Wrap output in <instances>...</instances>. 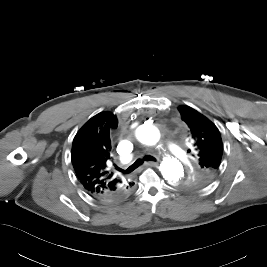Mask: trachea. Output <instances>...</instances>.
I'll return each instance as SVG.
<instances>
[{
    "label": "trachea",
    "mask_w": 267,
    "mask_h": 267,
    "mask_svg": "<svg viewBox=\"0 0 267 267\" xmlns=\"http://www.w3.org/2000/svg\"><path fill=\"white\" fill-rule=\"evenodd\" d=\"M144 160L145 161H156V159L153 156H151V155H145L142 159L141 158L137 159L126 170H123V169H118V170L120 172L124 173V174H129V173L133 172L135 169H137L139 166H141L143 164Z\"/></svg>",
    "instance_id": "trachea-1"
}]
</instances>
